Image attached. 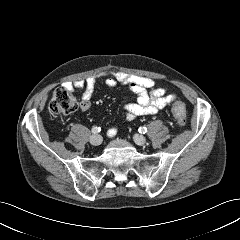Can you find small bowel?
<instances>
[{"instance_id": "1", "label": "small bowel", "mask_w": 240, "mask_h": 240, "mask_svg": "<svg viewBox=\"0 0 240 240\" xmlns=\"http://www.w3.org/2000/svg\"><path fill=\"white\" fill-rule=\"evenodd\" d=\"M101 77L105 78L107 86L114 88L120 84L137 96L135 103H128L124 106V117L129 121L135 120L139 116L156 114L175 99L174 94L168 93L165 88L157 87L151 78L124 72H102L90 76L86 80L66 83V88L70 90H83L81 110L86 111L90 108L96 82ZM115 134L116 128H110L109 135L114 136Z\"/></svg>"}]
</instances>
